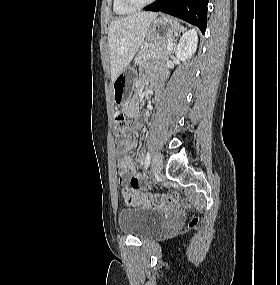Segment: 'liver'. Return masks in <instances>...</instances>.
I'll return each mask as SVG.
<instances>
[{"mask_svg": "<svg viewBox=\"0 0 280 285\" xmlns=\"http://www.w3.org/2000/svg\"><path fill=\"white\" fill-rule=\"evenodd\" d=\"M157 15L153 12H139L111 22L108 45L112 82L128 67L139 51L150 25Z\"/></svg>", "mask_w": 280, "mask_h": 285, "instance_id": "liver-1", "label": "liver"}]
</instances>
